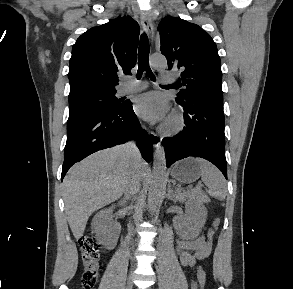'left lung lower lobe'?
Here are the masks:
<instances>
[{
    "label": "left lung lower lobe",
    "mask_w": 293,
    "mask_h": 289,
    "mask_svg": "<svg viewBox=\"0 0 293 289\" xmlns=\"http://www.w3.org/2000/svg\"><path fill=\"white\" fill-rule=\"evenodd\" d=\"M184 109L185 127L172 138H164L167 167L189 156L213 163L227 179L223 103L206 98L177 101Z\"/></svg>",
    "instance_id": "1"
}]
</instances>
